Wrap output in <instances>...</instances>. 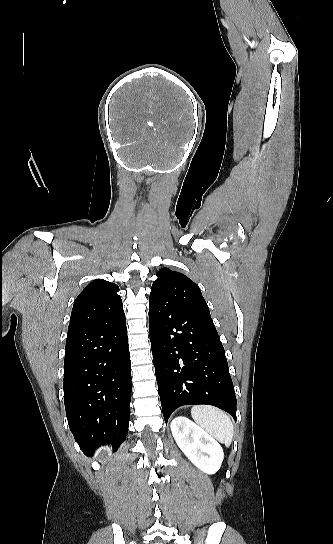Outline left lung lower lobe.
I'll return each mask as SVG.
<instances>
[{
  "label": "left lung lower lobe",
  "mask_w": 333,
  "mask_h": 544,
  "mask_svg": "<svg viewBox=\"0 0 333 544\" xmlns=\"http://www.w3.org/2000/svg\"><path fill=\"white\" fill-rule=\"evenodd\" d=\"M155 374L167 423L183 405L208 404L236 420V397L224 347L211 316L149 302Z\"/></svg>",
  "instance_id": "0a47b994"
}]
</instances>
